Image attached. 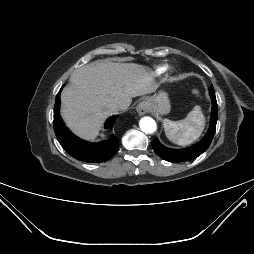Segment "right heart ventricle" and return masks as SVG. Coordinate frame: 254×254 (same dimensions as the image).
Segmentation results:
<instances>
[{"label": "right heart ventricle", "mask_w": 254, "mask_h": 254, "mask_svg": "<svg viewBox=\"0 0 254 254\" xmlns=\"http://www.w3.org/2000/svg\"><path fill=\"white\" fill-rule=\"evenodd\" d=\"M166 70V67L165 66H160L156 69V73L157 74H161L163 73L164 71Z\"/></svg>", "instance_id": "obj_1"}]
</instances>
